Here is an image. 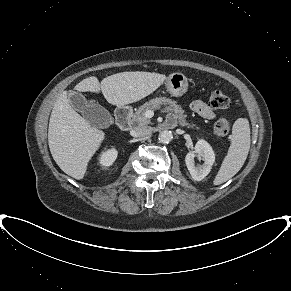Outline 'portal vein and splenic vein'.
Returning <instances> with one entry per match:
<instances>
[{
  "label": "portal vein and splenic vein",
  "mask_w": 291,
  "mask_h": 291,
  "mask_svg": "<svg viewBox=\"0 0 291 291\" xmlns=\"http://www.w3.org/2000/svg\"><path fill=\"white\" fill-rule=\"evenodd\" d=\"M145 116H146L147 118H151V117L153 116V111H151V110H147V111L145 112Z\"/></svg>",
  "instance_id": "18ae733b"
}]
</instances>
